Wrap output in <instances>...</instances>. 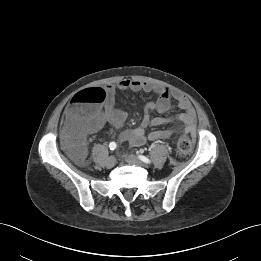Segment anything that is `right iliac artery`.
<instances>
[{"label": "right iliac artery", "instance_id": "obj_1", "mask_svg": "<svg viewBox=\"0 0 261 261\" xmlns=\"http://www.w3.org/2000/svg\"><path fill=\"white\" fill-rule=\"evenodd\" d=\"M116 147H117V145H116L115 142H111V143L109 144V148H110L111 150L116 149Z\"/></svg>", "mask_w": 261, "mask_h": 261}]
</instances>
